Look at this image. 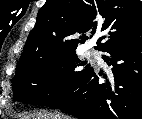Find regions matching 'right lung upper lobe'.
Returning <instances> with one entry per match:
<instances>
[{
  "mask_svg": "<svg viewBox=\"0 0 142 119\" xmlns=\"http://www.w3.org/2000/svg\"><path fill=\"white\" fill-rule=\"evenodd\" d=\"M96 30L103 33L97 41L98 46L94 47L100 51L141 38V2L47 0L38 12L16 71L45 56L76 50L78 44L88 39L84 33Z\"/></svg>",
  "mask_w": 142,
  "mask_h": 119,
  "instance_id": "cb5924a9",
  "label": "right lung upper lobe"
}]
</instances>
